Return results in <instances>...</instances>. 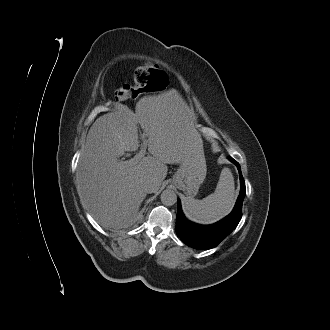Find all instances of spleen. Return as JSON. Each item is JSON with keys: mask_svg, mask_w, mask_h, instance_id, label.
<instances>
[{"mask_svg": "<svg viewBox=\"0 0 330 330\" xmlns=\"http://www.w3.org/2000/svg\"><path fill=\"white\" fill-rule=\"evenodd\" d=\"M234 178L229 168H223L214 193L202 200L183 199L185 216L199 224H212L228 215L235 203Z\"/></svg>", "mask_w": 330, "mask_h": 330, "instance_id": "1", "label": "spleen"}]
</instances>
